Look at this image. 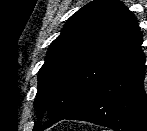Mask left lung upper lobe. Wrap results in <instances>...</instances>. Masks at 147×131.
<instances>
[{"label": "left lung upper lobe", "mask_w": 147, "mask_h": 131, "mask_svg": "<svg viewBox=\"0 0 147 131\" xmlns=\"http://www.w3.org/2000/svg\"><path fill=\"white\" fill-rule=\"evenodd\" d=\"M139 30L117 0H95L68 19L38 72L34 105L38 119L49 112L45 128L78 110L103 79L140 50ZM44 127L36 124L38 131Z\"/></svg>", "instance_id": "1"}]
</instances>
